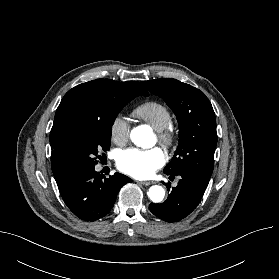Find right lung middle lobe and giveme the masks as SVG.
<instances>
[{"instance_id":"dd1d6c3e","label":"right lung middle lobe","mask_w":279,"mask_h":279,"mask_svg":"<svg viewBox=\"0 0 279 279\" xmlns=\"http://www.w3.org/2000/svg\"><path fill=\"white\" fill-rule=\"evenodd\" d=\"M137 95L121 94L109 98L101 115L73 128L69 136L68 153L75 173L94 167L101 152L110 148L111 127L120 110Z\"/></svg>"}]
</instances>
